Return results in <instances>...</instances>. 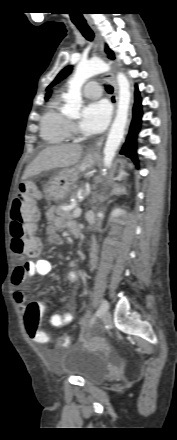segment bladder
<instances>
[{"mask_svg":"<svg viewBox=\"0 0 177 440\" xmlns=\"http://www.w3.org/2000/svg\"><path fill=\"white\" fill-rule=\"evenodd\" d=\"M59 369L72 373L86 382H100L105 377L106 355L100 351H90L72 346L61 348Z\"/></svg>","mask_w":177,"mask_h":440,"instance_id":"31cf9c89","label":"bladder"}]
</instances>
